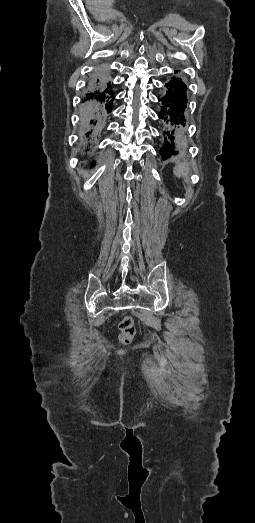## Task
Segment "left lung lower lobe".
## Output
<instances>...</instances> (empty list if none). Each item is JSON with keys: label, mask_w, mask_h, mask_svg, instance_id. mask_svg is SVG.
<instances>
[{"label": "left lung lower lobe", "mask_w": 255, "mask_h": 523, "mask_svg": "<svg viewBox=\"0 0 255 523\" xmlns=\"http://www.w3.org/2000/svg\"><path fill=\"white\" fill-rule=\"evenodd\" d=\"M164 95L158 97V103H162L161 107L163 109H158L157 119H162L165 121V129L161 130L163 132V137L165 144H161L162 156L159 157L160 161L169 162L174 157V152H178L177 145L182 144L184 137H176L181 135L183 128V123H186L187 116H184L182 112H186L187 106L190 103L189 98L187 97V86L181 84L179 80H166L162 82V91Z\"/></svg>", "instance_id": "left-lung-lower-lobe-1"}]
</instances>
